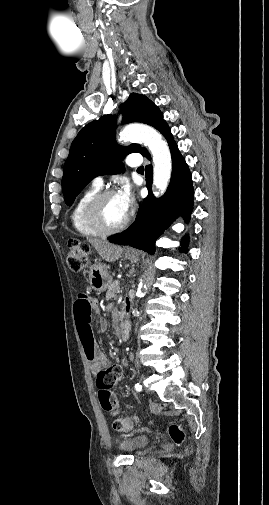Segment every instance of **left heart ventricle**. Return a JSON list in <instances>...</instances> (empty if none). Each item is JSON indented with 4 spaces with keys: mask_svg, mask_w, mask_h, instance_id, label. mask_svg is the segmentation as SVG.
I'll use <instances>...</instances> for the list:
<instances>
[{
    "mask_svg": "<svg viewBox=\"0 0 269 505\" xmlns=\"http://www.w3.org/2000/svg\"><path fill=\"white\" fill-rule=\"evenodd\" d=\"M102 221L109 227H114L122 223L127 214L122 210L116 194L108 197L100 209Z\"/></svg>",
    "mask_w": 269,
    "mask_h": 505,
    "instance_id": "obj_1",
    "label": "left heart ventricle"
}]
</instances>
